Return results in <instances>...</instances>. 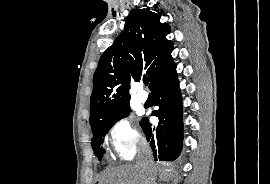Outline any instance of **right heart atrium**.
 Listing matches in <instances>:
<instances>
[{
    "instance_id": "obj_1",
    "label": "right heart atrium",
    "mask_w": 270,
    "mask_h": 184,
    "mask_svg": "<svg viewBox=\"0 0 270 184\" xmlns=\"http://www.w3.org/2000/svg\"><path fill=\"white\" fill-rule=\"evenodd\" d=\"M108 135L115 154L124 161L132 160L144 142L143 136L127 116L115 119L109 127Z\"/></svg>"
}]
</instances>
